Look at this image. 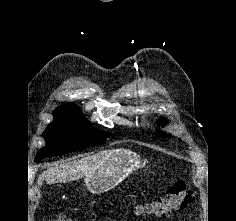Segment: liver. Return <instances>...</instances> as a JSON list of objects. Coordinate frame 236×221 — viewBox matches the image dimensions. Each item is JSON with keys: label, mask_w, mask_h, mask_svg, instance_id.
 Masks as SVG:
<instances>
[{"label": "liver", "mask_w": 236, "mask_h": 221, "mask_svg": "<svg viewBox=\"0 0 236 221\" xmlns=\"http://www.w3.org/2000/svg\"><path fill=\"white\" fill-rule=\"evenodd\" d=\"M113 150H104L67 163L55 164L44 171L38 178V185L45 180L48 184L66 183L92 173Z\"/></svg>", "instance_id": "liver-1"}]
</instances>
